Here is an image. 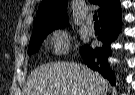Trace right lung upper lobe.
Here are the masks:
<instances>
[{
  "instance_id": "obj_1",
  "label": "right lung upper lobe",
  "mask_w": 135,
  "mask_h": 95,
  "mask_svg": "<svg viewBox=\"0 0 135 95\" xmlns=\"http://www.w3.org/2000/svg\"><path fill=\"white\" fill-rule=\"evenodd\" d=\"M93 4L100 5L98 10L100 24L106 20L121 16L119 0H91ZM67 0H43L34 22L33 33L55 30L68 24L66 16Z\"/></svg>"
}]
</instances>
